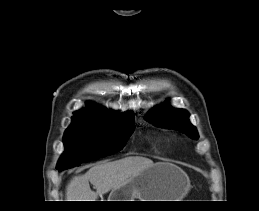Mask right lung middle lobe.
<instances>
[{
    "mask_svg": "<svg viewBox=\"0 0 259 211\" xmlns=\"http://www.w3.org/2000/svg\"><path fill=\"white\" fill-rule=\"evenodd\" d=\"M134 116L99 118L73 116L64 134L65 152L59 171L111 155L123 148L134 130Z\"/></svg>",
    "mask_w": 259,
    "mask_h": 211,
    "instance_id": "right-lung-middle-lobe-1",
    "label": "right lung middle lobe"
}]
</instances>
